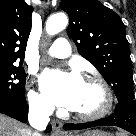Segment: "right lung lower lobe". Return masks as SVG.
<instances>
[{
    "label": "right lung lower lobe",
    "mask_w": 136,
    "mask_h": 136,
    "mask_svg": "<svg viewBox=\"0 0 136 136\" xmlns=\"http://www.w3.org/2000/svg\"><path fill=\"white\" fill-rule=\"evenodd\" d=\"M28 106L25 97L20 100H0V113L6 114L23 123L27 122ZM47 132L51 131L48 126Z\"/></svg>",
    "instance_id": "obj_1"
}]
</instances>
